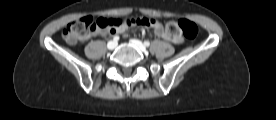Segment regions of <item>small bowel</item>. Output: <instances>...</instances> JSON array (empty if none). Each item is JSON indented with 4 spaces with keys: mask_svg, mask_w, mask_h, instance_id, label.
<instances>
[{
    "mask_svg": "<svg viewBox=\"0 0 276 120\" xmlns=\"http://www.w3.org/2000/svg\"><path fill=\"white\" fill-rule=\"evenodd\" d=\"M153 31H154V34L158 37H161L163 38L164 40H167V41H170L174 44H179L182 42V38L179 36V35H176V36H171L169 34L166 33V31L163 29V26L162 24L156 20V19H153L152 20V24L150 26ZM126 30V26H122L121 28H119L118 30L112 32V33H122ZM103 35L106 34V32H103L102 33ZM92 35H88L86 36L84 39H89Z\"/></svg>",
    "mask_w": 276,
    "mask_h": 120,
    "instance_id": "obj_1",
    "label": "small bowel"
}]
</instances>
